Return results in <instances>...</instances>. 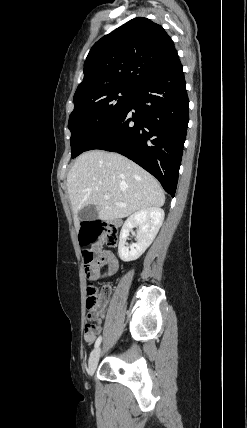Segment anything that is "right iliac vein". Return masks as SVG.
I'll return each instance as SVG.
<instances>
[{
  "instance_id": "1",
  "label": "right iliac vein",
  "mask_w": 247,
  "mask_h": 428,
  "mask_svg": "<svg viewBox=\"0 0 247 428\" xmlns=\"http://www.w3.org/2000/svg\"><path fill=\"white\" fill-rule=\"evenodd\" d=\"M101 349L98 347L96 348L90 355L89 362H88V373L90 376H92L97 368L98 361L100 358Z\"/></svg>"
}]
</instances>
